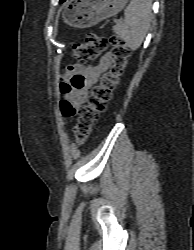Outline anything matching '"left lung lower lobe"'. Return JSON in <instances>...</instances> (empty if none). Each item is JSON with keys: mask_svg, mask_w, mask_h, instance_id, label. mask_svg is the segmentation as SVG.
<instances>
[{"mask_svg": "<svg viewBox=\"0 0 194 250\" xmlns=\"http://www.w3.org/2000/svg\"><path fill=\"white\" fill-rule=\"evenodd\" d=\"M64 1H66V0H60V3H63Z\"/></svg>", "mask_w": 194, "mask_h": 250, "instance_id": "0a47b994", "label": "left lung lower lobe"}]
</instances>
